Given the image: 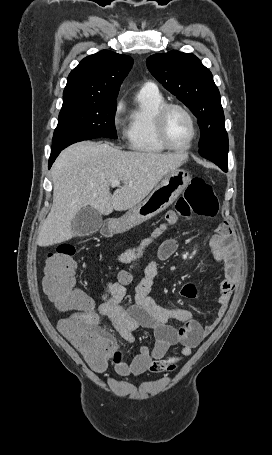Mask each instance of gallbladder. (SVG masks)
Listing matches in <instances>:
<instances>
[{
    "label": "gallbladder",
    "instance_id": "obj_1",
    "mask_svg": "<svg viewBox=\"0 0 272 455\" xmlns=\"http://www.w3.org/2000/svg\"><path fill=\"white\" fill-rule=\"evenodd\" d=\"M102 225L101 214L92 207L81 209L71 223L76 236H86L97 232Z\"/></svg>",
    "mask_w": 272,
    "mask_h": 455
}]
</instances>
